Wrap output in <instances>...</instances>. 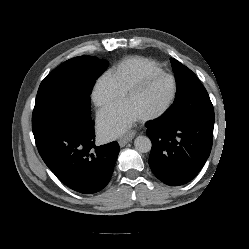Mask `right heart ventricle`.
<instances>
[{"mask_svg": "<svg viewBox=\"0 0 249 249\" xmlns=\"http://www.w3.org/2000/svg\"><path fill=\"white\" fill-rule=\"evenodd\" d=\"M162 69L152 60L132 56L121 61L110 72V75L122 91H126L142 76L150 73L161 72Z\"/></svg>", "mask_w": 249, "mask_h": 249, "instance_id": "obj_1", "label": "right heart ventricle"}]
</instances>
